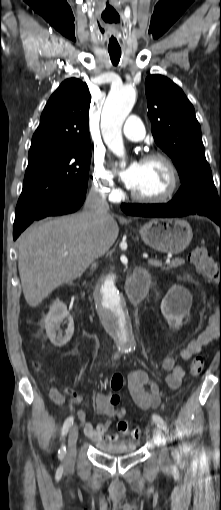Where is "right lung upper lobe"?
Segmentation results:
<instances>
[{"mask_svg": "<svg viewBox=\"0 0 221 510\" xmlns=\"http://www.w3.org/2000/svg\"><path fill=\"white\" fill-rule=\"evenodd\" d=\"M90 102L86 83L76 78L62 82L42 112L28 156L90 144Z\"/></svg>", "mask_w": 221, "mask_h": 510, "instance_id": "right-lung-upper-lobe-1", "label": "right lung upper lobe"}]
</instances>
